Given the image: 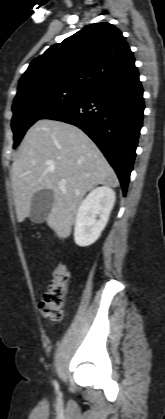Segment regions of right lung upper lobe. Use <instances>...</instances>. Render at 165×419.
I'll list each match as a JSON object with an SVG mask.
<instances>
[{
  "instance_id": "obj_1",
  "label": "right lung upper lobe",
  "mask_w": 165,
  "mask_h": 419,
  "mask_svg": "<svg viewBox=\"0 0 165 419\" xmlns=\"http://www.w3.org/2000/svg\"><path fill=\"white\" fill-rule=\"evenodd\" d=\"M134 63L120 30L109 23L91 24L35 58L19 81L15 99L52 87L89 92Z\"/></svg>"
}]
</instances>
